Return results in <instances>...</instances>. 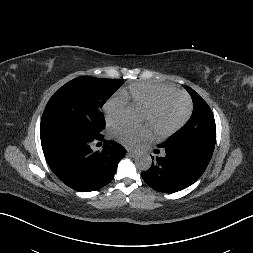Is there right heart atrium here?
<instances>
[{
	"mask_svg": "<svg viewBox=\"0 0 253 253\" xmlns=\"http://www.w3.org/2000/svg\"><path fill=\"white\" fill-rule=\"evenodd\" d=\"M127 100L119 93L110 97L104 104L103 110L108 125L120 124L125 115Z\"/></svg>",
	"mask_w": 253,
	"mask_h": 253,
	"instance_id": "1",
	"label": "right heart atrium"
}]
</instances>
